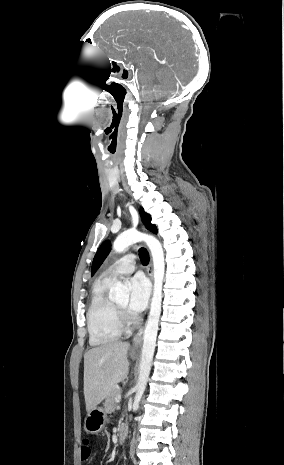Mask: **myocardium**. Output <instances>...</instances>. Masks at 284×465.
Wrapping results in <instances>:
<instances>
[{"instance_id": "f54148a6", "label": "myocardium", "mask_w": 284, "mask_h": 465, "mask_svg": "<svg viewBox=\"0 0 284 465\" xmlns=\"http://www.w3.org/2000/svg\"><path fill=\"white\" fill-rule=\"evenodd\" d=\"M114 306L119 318V321L116 322L117 327L121 332L126 331L134 324V318L127 312L122 311L117 305Z\"/></svg>"}]
</instances>
